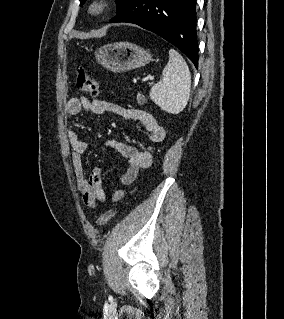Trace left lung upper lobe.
I'll list each match as a JSON object with an SVG mask.
<instances>
[{"label":"left lung upper lobe","instance_id":"obj_1","mask_svg":"<svg viewBox=\"0 0 284 319\" xmlns=\"http://www.w3.org/2000/svg\"><path fill=\"white\" fill-rule=\"evenodd\" d=\"M85 1L86 0H80V5H83ZM129 1L130 0H117V13H119Z\"/></svg>","mask_w":284,"mask_h":319}]
</instances>
